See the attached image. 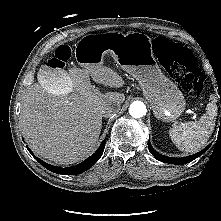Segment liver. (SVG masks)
<instances>
[{
  "label": "liver",
  "mask_w": 221,
  "mask_h": 221,
  "mask_svg": "<svg viewBox=\"0 0 221 221\" xmlns=\"http://www.w3.org/2000/svg\"><path fill=\"white\" fill-rule=\"evenodd\" d=\"M55 70L43 65L38 83L29 86L21 106L20 123L29 147L42 158L59 165H71L89 156L95 149L102 128L103 107L122 104L119 92L100 94L90 81L111 87H122L123 79L102 65L88 70L73 67L64 76L65 89L52 90Z\"/></svg>",
  "instance_id": "liver-1"
}]
</instances>
